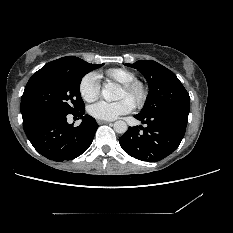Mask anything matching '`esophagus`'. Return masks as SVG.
<instances>
[{
  "instance_id": "obj_1",
  "label": "esophagus",
  "mask_w": 233,
  "mask_h": 233,
  "mask_svg": "<svg viewBox=\"0 0 233 233\" xmlns=\"http://www.w3.org/2000/svg\"><path fill=\"white\" fill-rule=\"evenodd\" d=\"M97 123L99 125H102V124H108V123H110V121L98 120Z\"/></svg>"
}]
</instances>
